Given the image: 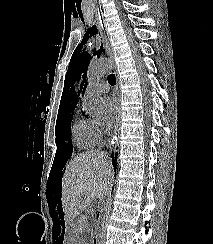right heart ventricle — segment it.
I'll use <instances>...</instances> for the list:
<instances>
[{
  "mask_svg": "<svg viewBox=\"0 0 213 244\" xmlns=\"http://www.w3.org/2000/svg\"><path fill=\"white\" fill-rule=\"evenodd\" d=\"M71 133L73 143L79 149L92 148L97 144L89 120L76 119L72 124Z\"/></svg>",
  "mask_w": 213,
  "mask_h": 244,
  "instance_id": "obj_1",
  "label": "right heart ventricle"
}]
</instances>
